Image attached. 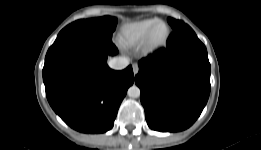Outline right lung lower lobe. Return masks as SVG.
I'll return each instance as SVG.
<instances>
[{
    "mask_svg": "<svg viewBox=\"0 0 261 150\" xmlns=\"http://www.w3.org/2000/svg\"><path fill=\"white\" fill-rule=\"evenodd\" d=\"M116 53L111 39L67 37L49 48L42 72L46 96L71 128L103 133L113 127L134 82L132 66L115 71L106 64L107 55Z\"/></svg>",
    "mask_w": 261,
    "mask_h": 150,
    "instance_id": "right-lung-lower-lobe-1",
    "label": "right lung lower lobe"
}]
</instances>
